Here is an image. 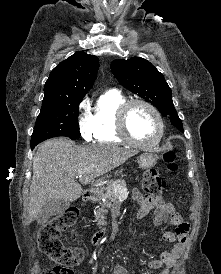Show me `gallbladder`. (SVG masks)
<instances>
[{"label": "gallbladder", "instance_id": "gallbladder-1", "mask_svg": "<svg viewBox=\"0 0 221 274\" xmlns=\"http://www.w3.org/2000/svg\"><path fill=\"white\" fill-rule=\"evenodd\" d=\"M70 206V202L64 199L48 201L41 209L37 217L38 223L46 222L51 216L63 213Z\"/></svg>", "mask_w": 221, "mask_h": 274}]
</instances>
